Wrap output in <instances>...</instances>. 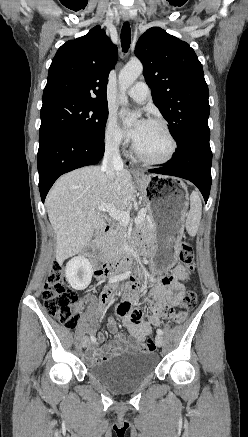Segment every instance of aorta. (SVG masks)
<instances>
[{"label": "aorta", "instance_id": "obj_1", "mask_svg": "<svg viewBox=\"0 0 248 437\" xmlns=\"http://www.w3.org/2000/svg\"><path fill=\"white\" fill-rule=\"evenodd\" d=\"M143 66L140 62L128 63L119 74L120 95L119 101L121 104H127L126 90L136 81L141 75ZM135 117H129L126 120L127 125H132L135 122Z\"/></svg>", "mask_w": 248, "mask_h": 437}]
</instances>
